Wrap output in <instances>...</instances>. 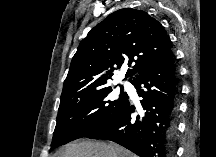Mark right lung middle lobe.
Listing matches in <instances>:
<instances>
[{
	"instance_id": "obj_1",
	"label": "right lung middle lobe",
	"mask_w": 216,
	"mask_h": 157,
	"mask_svg": "<svg viewBox=\"0 0 216 157\" xmlns=\"http://www.w3.org/2000/svg\"><path fill=\"white\" fill-rule=\"evenodd\" d=\"M128 95L111 86L89 90L61 100L51 147L55 148L97 131L121 110Z\"/></svg>"
}]
</instances>
